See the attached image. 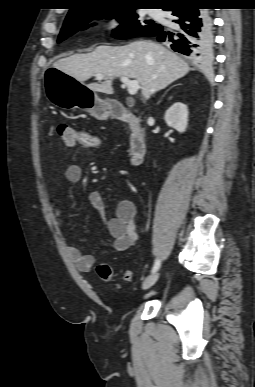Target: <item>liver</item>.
<instances>
[{
	"label": "liver",
	"instance_id": "liver-1",
	"mask_svg": "<svg viewBox=\"0 0 255 387\" xmlns=\"http://www.w3.org/2000/svg\"><path fill=\"white\" fill-rule=\"evenodd\" d=\"M54 67L80 83L102 74L98 83L86 86L94 92L112 94L115 77L136 79L144 99L185 76L189 65L162 45L149 40L135 41L125 46L100 45L91 53L74 54L59 59Z\"/></svg>",
	"mask_w": 255,
	"mask_h": 387
}]
</instances>
